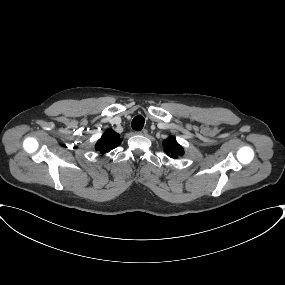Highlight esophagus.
Masks as SVG:
<instances>
[{"instance_id":"34e87169","label":"esophagus","mask_w":285,"mask_h":285,"mask_svg":"<svg viewBox=\"0 0 285 285\" xmlns=\"http://www.w3.org/2000/svg\"><path fill=\"white\" fill-rule=\"evenodd\" d=\"M137 134H139V135H147V130L143 129L141 131H138Z\"/></svg>"}]
</instances>
